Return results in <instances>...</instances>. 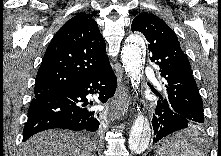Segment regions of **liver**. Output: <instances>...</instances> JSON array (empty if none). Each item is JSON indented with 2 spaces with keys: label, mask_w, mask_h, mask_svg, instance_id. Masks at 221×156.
Here are the masks:
<instances>
[{
  "label": "liver",
  "mask_w": 221,
  "mask_h": 156,
  "mask_svg": "<svg viewBox=\"0 0 221 156\" xmlns=\"http://www.w3.org/2000/svg\"><path fill=\"white\" fill-rule=\"evenodd\" d=\"M96 146L86 136L64 130L35 134L21 148V156H94Z\"/></svg>",
  "instance_id": "1"
}]
</instances>
